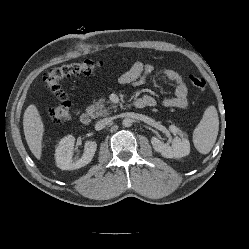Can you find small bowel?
Here are the masks:
<instances>
[{"label":"small bowel","mask_w":249,"mask_h":249,"mask_svg":"<svg viewBox=\"0 0 249 249\" xmlns=\"http://www.w3.org/2000/svg\"><path fill=\"white\" fill-rule=\"evenodd\" d=\"M155 70V67L151 64L136 61L128 71L118 78V83L121 85L130 84L139 86L143 84ZM162 75L175 85L173 96L164 98L161 102L162 106L167 108L187 109L189 104L187 98L188 89L182 75L168 68L162 70ZM139 99L145 101V107H152L156 104V100L150 95H144Z\"/></svg>","instance_id":"small-bowel-1"}]
</instances>
